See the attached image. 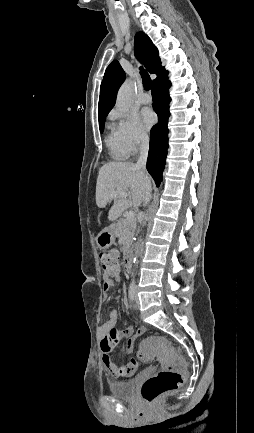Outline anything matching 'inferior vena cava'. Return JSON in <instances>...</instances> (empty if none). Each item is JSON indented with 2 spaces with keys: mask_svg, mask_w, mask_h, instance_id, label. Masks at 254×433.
Wrapping results in <instances>:
<instances>
[{
  "mask_svg": "<svg viewBox=\"0 0 254 433\" xmlns=\"http://www.w3.org/2000/svg\"><path fill=\"white\" fill-rule=\"evenodd\" d=\"M140 157L136 163V167L141 169L144 173L146 172V162L149 151V137L146 134H142L140 137ZM151 198V184L148 181L145 185L144 204L146 205Z\"/></svg>",
  "mask_w": 254,
  "mask_h": 433,
  "instance_id": "1",
  "label": "inferior vena cava"
}]
</instances>
